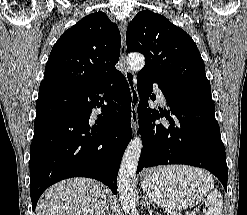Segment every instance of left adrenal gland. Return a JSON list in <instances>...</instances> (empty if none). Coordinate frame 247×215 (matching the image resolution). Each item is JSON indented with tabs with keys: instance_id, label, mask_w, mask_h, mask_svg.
I'll return each instance as SVG.
<instances>
[{
	"instance_id": "1",
	"label": "left adrenal gland",
	"mask_w": 247,
	"mask_h": 215,
	"mask_svg": "<svg viewBox=\"0 0 247 215\" xmlns=\"http://www.w3.org/2000/svg\"><path fill=\"white\" fill-rule=\"evenodd\" d=\"M145 202H146V204H147L148 206H150V205H151V202L148 200V198H147V197H145Z\"/></svg>"
}]
</instances>
